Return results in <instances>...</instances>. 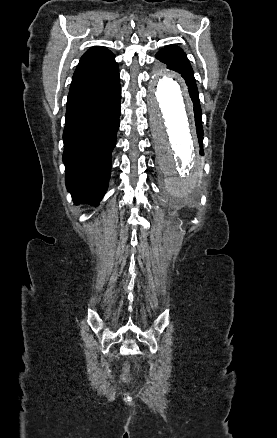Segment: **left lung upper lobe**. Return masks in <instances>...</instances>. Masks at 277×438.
<instances>
[{
  "instance_id": "left-lung-upper-lobe-1",
  "label": "left lung upper lobe",
  "mask_w": 277,
  "mask_h": 438,
  "mask_svg": "<svg viewBox=\"0 0 277 438\" xmlns=\"http://www.w3.org/2000/svg\"><path fill=\"white\" fill-rule=\"evenodd\" d=\"M156 58L167 64L168 69L179 72L185 79L188 85L190 97L194 104V114H200L201 108L194 72L185 52H183L178 46H169L161 49L156 54Z\"/></svg>"
}]
</instances>
